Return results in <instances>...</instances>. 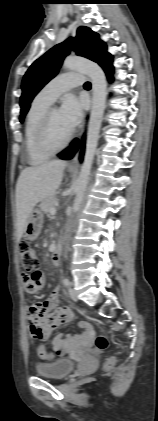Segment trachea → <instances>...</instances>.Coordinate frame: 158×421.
I'll use <instances>...</instances> for the list:
<instances>
[{
    "instance_id": "3493384b",
    "label": "trachea",
    "mask_w": 158,
    "mask_h": 421,
    "mask_svg": "<svg viewBox=\"0 0 158 421\" xmlns=\"http://www.w3.org/2000/svg\"><path fill=\"white\" fill-rule=\"evenodd\" d=\"M84 87H86V88H89V87H91V84H90V82H86V83L84 84Z\"/></svg>"
}]
</instances>
